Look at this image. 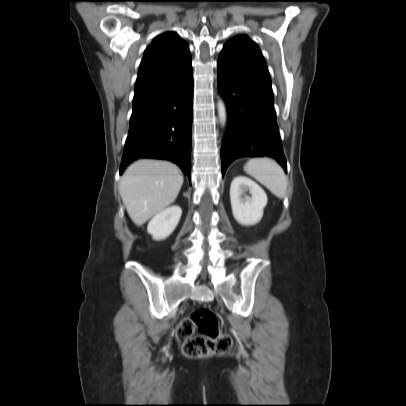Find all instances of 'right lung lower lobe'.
<instances>
[{
    "label": "right lung lower lobe",
    "instance_id": "98d812e1",
    "mask_svg": "<svg viewBox=\"0 0 406 406\" xmlns=\"http://www.w3.org/2000/svg\"><path fill=\"white\" fill-rule=\"evenodd\" d=\"M192 68L170 84L133 99L120 173L139 158L168 160L191 179Z\"/></svg>",
    "mask_w": 406,
    "mask_h": 406
}]
</instances>
